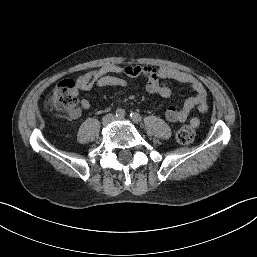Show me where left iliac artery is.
<instances>
[{"instance_id":"left-iliac-artery-1","label":"left iliac artery","mask_w":257,"mask_h":257,"mask_svg":"<svg viewBox=\"0 0 257 257\" xmlns=\"http://www.w3.org/2000/svg\"><path fill=\"white\" fill-rule=\"evenodd\" d=\"M130 118L135 121V122H140L142 120V117L140 116V114L136 113V112H131L130 113Z\"/></svg>"}]
</instances>
